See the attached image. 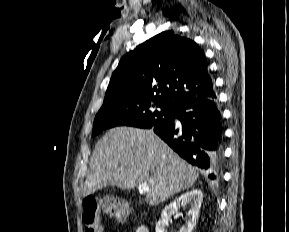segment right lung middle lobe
<instances>
[{
	"label": "right lung middle lobe",
	"instance_id": "dd1d6c3e",
	"mask_svg": "<svg viewBox=\"0 0 289 232\" xmlns=\"http://www.w3.org/2000/svg\"><path fill=\"white\" fill-rule=\"evenodd\" d=\"M175 108L137 97H113L104 100L97 113L92 136L106 128L132 126L144 129L170 123Z\"/></svg>",
	"mask_w": 289,
	"mask_h": 232
}]
</instances>
